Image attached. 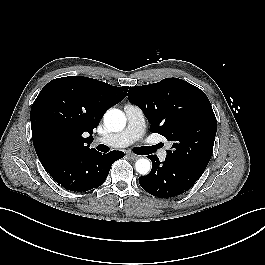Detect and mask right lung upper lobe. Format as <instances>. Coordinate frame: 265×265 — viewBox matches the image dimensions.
Masks as SVG:
<instances>
[{"instance_id":"right-lung-upper-lobe-1","label":"right lung upper lobe","mask_w":265,"mask_h":265,"mask_svg":"<svg viewBox=\"0 0 265 265\" xmlns=\"http://www.w3.org/2000/svg\"><path fill=\"white\" fill-rule=\"evenodd\" d=\"M127 91L128 87L80 76L57 78L46 84L30 113L33 144L41 164L94 150L90 148L93 129Z\"/></svg>"}]
</instances>
